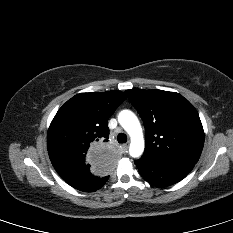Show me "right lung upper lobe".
I'll return each instance as SVG.
<instances>
[{
    "label": "right lung upper lobe",
    "instance_id": "right-lung-upper-lobe-1",
    "mask_svg": "<svg viewBox=\"0 0 233 233\" xmlns=\"http://www.w3.org/2000/svg\"><path fill=\"white\" fill-rule=\"evenodd\" d=\"M126 99L121 91L80 93L56 113L47 134L50 160L64 179L108 175L114 151L107 122Z\"/></svg>",
    "mask_w": 233,
    "mask_h": 233
}]
</instances>
